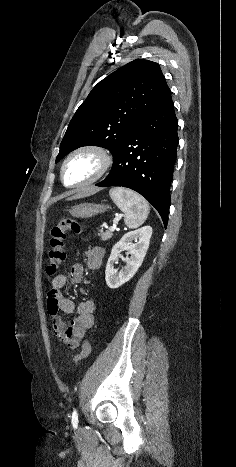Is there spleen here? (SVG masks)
<instances>
[{
    "instance_id": "spleen-1",
    "label": "spleen",
    "mask_w": 236,
    "mask_h": 467,
    "mask_svg": "<svg viewBox=\"0 0 236 467\" xmlns=\"http://www.w3.org/2000/svg\"><path fill=\"white\" fill-rule=\"evenodd\" d=\"M110 197L125 214V224L133 229L142 225L150 212L147 201L138 193L122 187L112 188Z\"/></svg>"
}]
</instances>
